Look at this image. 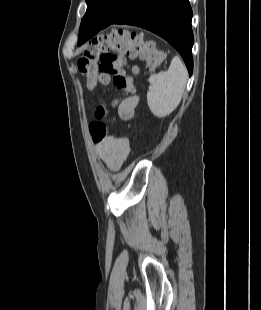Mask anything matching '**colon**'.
Instances as JSON below:
<instances>
[{"mask_svg":"<svg viewBox=\"0 0 261 310\" xmlns=\"http://www.w3.org/2000/svg\"><path fill=\"white\" fill-rule=\"evenodd\" d=\"M125 56L141 58L150 71L156 70L163 61V54L151 43L144 42L138 33L114 29L96 37L82 51L77 59V67L88 79L90 87H94L97 83H106L108 77L112 75L114 85L120 91L131 93L134 91V85L132 77L126 72ZM118 103L119 100L116 99L112 105ZM106 115V106L99 105L95 111L96 119L89 126L94 140L107 136V125L104 122Z\"/></svg>","mask_w":261,"mask_h":310,"instance_id":"5ec220e1","label":"colon"}]
</instances>
